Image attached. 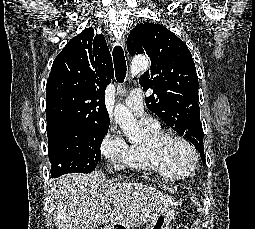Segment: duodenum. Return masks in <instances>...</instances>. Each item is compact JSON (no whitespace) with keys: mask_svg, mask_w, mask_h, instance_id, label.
<instances>
[{"mask_svg":"<svg viewBox=\"0 0 255 229\" xmlns=\"http://www.w3.org/2000/svg\"><path fill=\"white\" fill-rule=\"evenodd\" d=\"M108 229H126V227L122 225L121 223H113L109 225Z\"/></svg>","mask_w":255,"mask_h":229,"instance_id":"obj_1","label":"duodenum"}]
</instances>
